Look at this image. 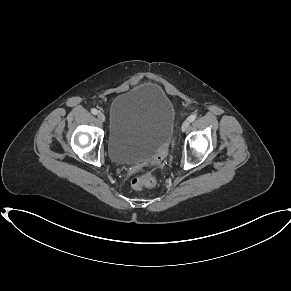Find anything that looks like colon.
I'll return each instance as SVG.
<instances>
[{
  "label": "colon",
  "instance_id": "obj_1",
  "mask_svg": "<svg viewBox=\"0 0 291 291\" xmlns=\"http://www.w3.org/2000/svg\"><path fill=\"white\" fill-rule=\"evenodd\" d=\"M168 154V145L160 148L155 155L152 164H159L161 163ZM156 183V179L153 175L147 174L145 176L134 178L131 182L132 187L135 190H142L146 187H152Z\"/></svg>",
  "mask_w": 291,
  "mask_h": 291
}]
</instances>
